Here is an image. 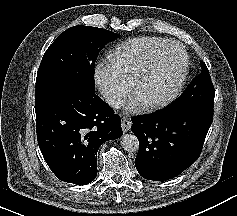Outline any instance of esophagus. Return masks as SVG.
I'll use <instances>...</instances> for the list:
<instances>
[{
  "label": "esophagus",
  "mask_w": 237,
  "mask_h": 216,
  "mask_svg": "<svg viewBox=\"0 0 237 216\" xmlns=\"http://www.w3.org/2000/svg\"><path fill=\"white\" fill-rule=\"evenodd\" d=\"M131 124H132V122H131L130 118H128V117H123L122 120H121L122 131H123L124 133H126L127 131H129L130 128H131Z\"/></svg>",
  "instance_id": "1"
}]
</instances>
